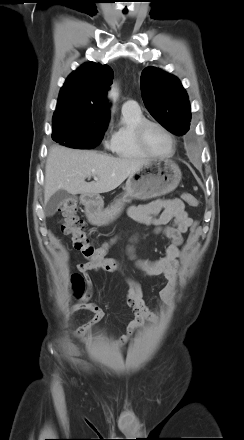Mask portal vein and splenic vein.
<instances>
[{"label":"portal vein and splenic vein","mask_w":244,"mask_h":440,"mask_svg":"<svg viewBox=\"0 0 244 440\" xmlns=\"http://www.w3.org/2000/svg\"><path fill=\"white\" fill-rule=\"evenodd\" d=\"M94 180H96V181H97V180H98V178H97V177H94Z\"/></svg>","instance_id":"obj_1"}]
</instances>
